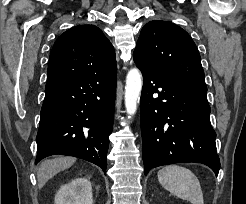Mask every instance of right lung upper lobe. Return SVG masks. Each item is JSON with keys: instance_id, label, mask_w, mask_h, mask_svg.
Masks as SVG:
<instances>
[{"instance_id": "obj_1", "label": "right lung upper lobe", "mask_w": 246, "mask_h": 204, "mask_svg": "<svg viewBox=\"0 0 246 204\" xmlns=\"http://www.w3.org/2000/svg\"><path fill=\"white\" fill-rule=\"evenodd\" d=\"M117 70L115 51L94 25H79L61 34L50 53L47 81Z\"/></svg>"}]
</instances>
